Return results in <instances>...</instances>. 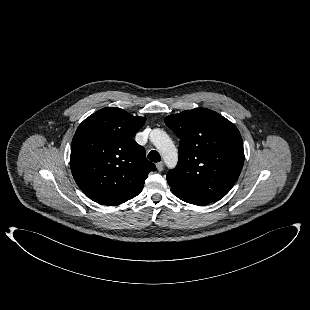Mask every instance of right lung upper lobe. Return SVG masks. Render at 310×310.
Listing matches in <instances>:
<instances>
[{"label":"right lung upper lobe","instance_id":"right-lung-upper-lobe-1","mask_svg":"<svg viewBox=\"0 0 310 310\" xmlns=\"http://www.w3.org/2000/svg\"><path fill=\"white\" fill-rule=\"evenodd\" d=\"M146 119L107 107L86 118L71 145L70 167L80 189L93 201L119 205L137 196L156 167L133 136Z\"/></svg>","mask_w":310,"mask_h":310}]
</instances>
